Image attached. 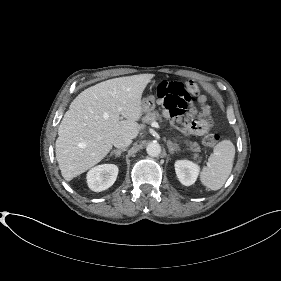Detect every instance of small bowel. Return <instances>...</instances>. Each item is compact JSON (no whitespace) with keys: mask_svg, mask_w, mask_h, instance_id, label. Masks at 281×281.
I'll return each mask as SVG.
<instances>
[{"mask_svg":"<svg viewBox=\"0 0 281 281\" xmlns=\"http://www.w3.org/2000/svg\"><path fill=\"white\" fill-rule=\"evenodd\" d=\"M198 104L202 108V113L207 114L208 116H211L210 107L207 103V98L205 95H200L197 99ZM165 118H170L171 123L182 133L184 134H190V135H202L205 133L207 128L204 126L203 122L201 120L192 122L189 125H183L179 120L173 119L169 116V113L167 111H164L163 113Z\"/></svg>","mask_w":281,"mask_h":281,"instance_id":"obj_1","label":"small bowel"}]
</instances>
